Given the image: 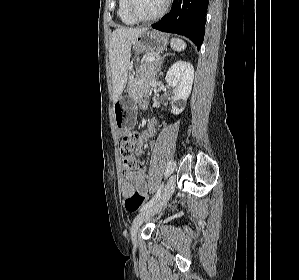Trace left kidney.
Returning a JSON list of instances; mask_svg holds the SVG:
<instances>
[{"label": "left kidney", "instance_id": "left-kidney-1", "mask_svg": "<svg viewBox=\"0 0 299 280\" xmlns=\"http://www.w3.org/2000/svg\"><path fill=\"white\" fill-rule=\"evenodd\" d=\"M194 79V68L186 61H177L166 74V82L175 88L172 97L171 113L179 114L184 110L185 102L188 99Z\"/></svg>", "mask_w": 299, "mask_h": 280}]
</instances>
